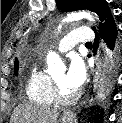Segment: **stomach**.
Returning <instances> with one entry per match:
<instances>
[{"instance_id":"stomach-1","label":"stomach","mask_w":122,"mask_h":123,"mask_svg":"<svg viewBox=\"0 0 122 123\" xmlns=\"http://www.w3.org/2000/svg\"><path fill=\"white\" fill-rule=\"evenodd\" d=\"M73 117L72 116H62L60 118V123H72Z\"/></svg>"}]
</instances>
